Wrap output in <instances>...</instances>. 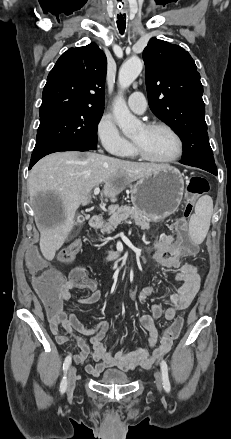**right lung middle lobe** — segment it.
<instances>
[{
  "label": "right lung middle lobe",
  "mask_w": 231,
  "mask_h": 439,
  "mask_svg": "<svg viewBox=\"0 0 231 439\" xmlns=\"http://www.w3.org/2000/svg\"><path fill=\"white\" fill-rule=\"evenodd\" d=\"M104 109L78 108L40 117L34 151L76 146L95 150Z\"/></svg>",
  "instance_id": "1"
}]
</instances>
